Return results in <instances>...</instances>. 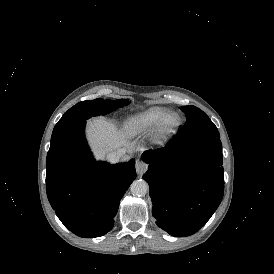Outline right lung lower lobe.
I'll return each mask as SVG.
<instances>
[{"label": "right lung lower lobe", "instance_id": "obj_1", "mask_svg": "<svg viewBox=\"0 0 274 274\" xmlns=\"http://www.w3.org/2000/svg\"><path fill=\"white\" fill-rule=\"evenodd\" d=\"M85 123L51 143L46 189L61 222L74 234L93 238L112 229L136 170L134 160L116 165L96 162L84 136Z\"/></svg>", "mask_w": 274, "mask_h": 274}]
</instances>
